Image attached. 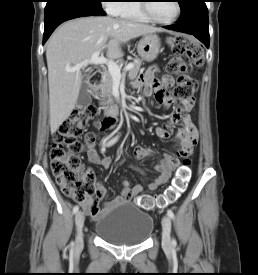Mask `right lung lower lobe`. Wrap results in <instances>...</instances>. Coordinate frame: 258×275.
<instances>
[{"instance_id": "1", "label": "right lung lower lobe", "mask_w": 258, "mask_h": 275, "mask_svg": "<svg viewBox=\"0 0 258 275\" xmlns=\"http://www.w3.org/2000/svg\"><path fill=\"white\" fill-rule=\"evenodd\" d=\"M106 15L101 6L81 0H62L45 7V31L43 43L49 38L55 28L64 21L84 17Z\"/></svg>"}]
</instances>
